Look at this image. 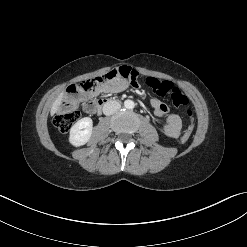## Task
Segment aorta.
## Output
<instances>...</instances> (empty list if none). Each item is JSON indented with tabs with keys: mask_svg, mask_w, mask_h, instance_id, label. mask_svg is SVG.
I'll return each mask as SVG.
<instances>
[{
	"mask_svg": "<svg viewBox=\"0 0 247 247\" xmlns=\"http://www.w3.org/2000/svg\"><path fill=\"white\" fill-rule=\"evenodd\" d=\"M124 106L127 109H133L135 107V103L132 100H126L124 102Z\"/></svg>",
	"mask_w": 247,
	"mask_h": 247,
	"instance_id": "762f6f07",
	"label": "aorta"
}]
</instances>
